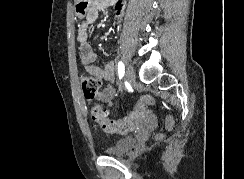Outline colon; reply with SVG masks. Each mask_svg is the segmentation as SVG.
<instances>
[{
	"instance_id": "5ec220e1",
	"label": "colon",
	"mask_w": 244,
	"mask_h": 179,
	"mask_svg": "<svg viewBox=\"0 0 244 179\" xmlns=\"http://www.w3.org/2000/svg\"><path fill=\"white\" fill-rule=\"evenodd\" d=\"M81 87L83 94L87 100L90 97L95 99L100 86L101 81L98 76L84 72L81 77ZM148 106H156V101L154 95H143V98H140V102H134V108H129V116L123 120H109L106 116L104 108L99 104L98 106H91V118L97 123L103 131L108 133H125L134 128L135 120L140 119V110H147ZM167 120L164 121L165 125H169L168 129H174V117L175 112H168Z\"/></svg>"
}]
</instances>
